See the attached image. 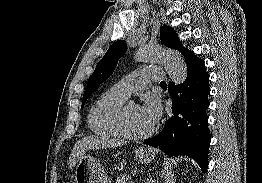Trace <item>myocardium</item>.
<instances>
[{
    "mask_svg": "<svg viewBox=\"0 0 262 183\" xmlns=\"http://www.w3.org/2000/svg\"><path fill=\"white\" fill-rule=\"evenodd\" d=\"M128 104H123L116 116V125L121 135L128 139L141 140L151 136L154 132V128H150L148 131L143 133L132 132L127 125L126 121V108Z\"/></svg>",
    "mask_w": 262,
    "mask_h": 183,
    "instance_id": "obj_1",
    "label": "myocardium"
}]
</instances>
